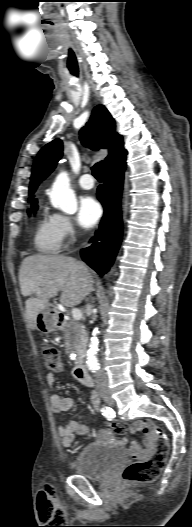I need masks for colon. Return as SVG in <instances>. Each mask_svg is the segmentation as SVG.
Here are the masks:
<instances>
[{"mask_svg": "<svg viewBox=\"0 0 192 527\" xmlns=\"http://www.w3.org/2000/svg\"><path fill=\"white\" fill-rule=\"evenodd\" d=\"M42 354L44 356L46 367L49 371L59 373L64 369V363L59 350L50 344L42 346ZM109 425L117 433H124L128 430V426L124 423L115 421L110 422ZM150 426V425H149ZM155 434V450L148 460L134 461L129 463L122 472V478L126 482L150 483L157 479L160 472L166 465L169 442L164 432L158 427L150 426ZM52 487L48 486L45 491L39 496L38 506L42 513L55 512L50 502V495L52 494ZM59 514L61 510H57Z\"/></svg>", "mask_w": 192, "mask_h": 527, "instance_id": "obj_1", "label": "colon"}]
</instances>
